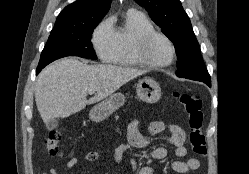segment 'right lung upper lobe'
<instances>
[{
	"mask_svg": "<svg viewBox=\"0 0 249 174\" xmlns=\"http://www.w3.org/2000/svg\"><path fill=\"white\" fill-rule=\"evenodd\" d=\"M111 1L78 0L64 8L57 17L53 30L71 29L92 21H101L108 12Z\"/></svg>",
	"mask_w": 249,
	"mask_h": 174,
	"instance_id": "1",
	"label": "right lung upper lobe"
}]
</instances>
